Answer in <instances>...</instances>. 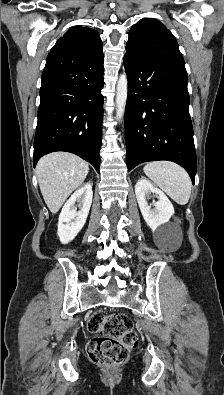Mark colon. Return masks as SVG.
Returning a JSON list of instances; mask_svg holds the SVG:
<instances>
[{
  "mask_svg": "<svg viewBox=\"0 0 224 395\" xmlns=\"http://www.w3.org/2000/svg\"><path fill=\"white\" fill-rule=\"evenodd\" d=\"M87 326L96 334L87 345V353L93 363L115 366L128 360L137 343L134 326L128 316L97 311L91 315Z\"/></svg>",
  "mask_w": 224,
  "mask_h": 395,
  "instance_id": "1",
  "label": "colon"
}]
</instances>
